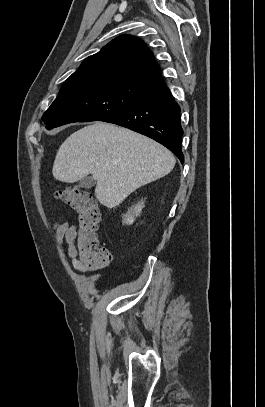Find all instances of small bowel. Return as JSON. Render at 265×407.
<instances>
[{
  "label": "small bowel",
  "instance_id": "1",
  "mask_svg": "<svg viewBox=\"0 0 265 407\" xmlns=\"http://www.w3.org/2000/svg\"><path fill=\"white\" fill-rule=\"evenodd\" d=\"M54 228L59 243L62 246H66V252L68 257L72 260L73 267L78 271L88 272V269L80 264L76 258L74 242L77 236V228L68 223H56Z\"/></svg>",
  "mask_w": 265,
  "mask_h": 407
}]
</instances>
